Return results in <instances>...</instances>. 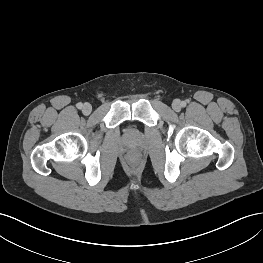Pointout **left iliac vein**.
Returning <instances> with one entry per match:
<instances>
[{
    "mask_svg": "<svg viewBox=\"0 0 263 263\" xmlns=\"http://www.w3.org/2000/svg\"><path fill=\"white\" fill-rule=\"evenodd\" d=\"M172 108L174 111L179 112L182 108V103L180 100L176 99L172 102Z\"/></svg>",
    "mask_w": 263,
    "mask_h": 263,
    "instance_id": "4c4485c4",
    "label": "left iliac vein"
}]
</instances>
